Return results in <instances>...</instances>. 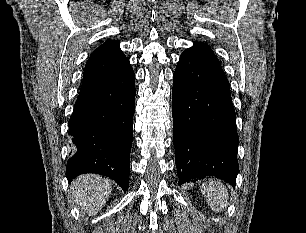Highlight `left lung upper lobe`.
Wrapping results in <instances>:
<instances>
[{
  "instance_id": "obj_1",
  "label": "left lung upper lobe",
  "mask_w": 306,
  "mask_h": 233,
  "mask_svg": "<svg viewBox=\"0 0 306 233\" xmlns=\"http://www.w3.org/2000/svg\"><path fill=\"white\" fill-rule=\"evenodd\" d=\"M186 51H194V52H198V53L206 54L208 56L215 57L213 55V51L211 50V48L202 42H194V46L187 49Z\"/></svg>"
}]
</instances>
